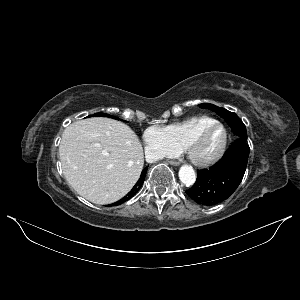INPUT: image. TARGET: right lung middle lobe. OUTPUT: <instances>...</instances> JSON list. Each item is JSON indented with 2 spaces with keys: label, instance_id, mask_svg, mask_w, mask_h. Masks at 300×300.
Wrapping results in <instances>:
<instances>
[{
  "label": "right lung middle lobe",
  "instance_id": "dd1d6c3e",
  "mask_svg": "<svg viewBox=\"0 0 300 300\" xmlns=\"http://www.w3.org/2000/svg\"><path fill=\"white\" fill-rule=\"evenodd\" d=\"M93 116H105V117H110V118L118 119V118H116L114 116H111V115L105 114V113H96Z\"/></svg>",
  "mask_w": 300,
  "mask_h": 300
}]
</instances>
